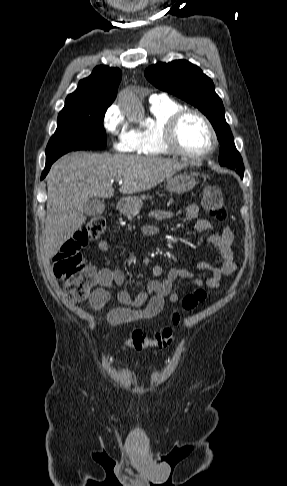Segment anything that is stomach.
Here are the masks:
<instances>
[{"instance_id":"obj_1","label":"stomach","mask_w":287,"mask_h":486,"mask_svg":"<svg viewBox=\"0 0 287 486\" xmlns=\"http://www.w3.org/2000/svg\"><path fill=\"white\" fill-rule=\"evenodd\" d=\"M197 181L186 173L171 176L166 179V190L175 193H184L192 190ZM143 206V200L138 196H128L118 202V210L124 215L136 213Z\"/></svg>"}]
</instances>
